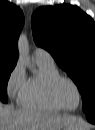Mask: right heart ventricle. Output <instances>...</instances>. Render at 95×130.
<instances>
[{
  "label": "right heart ventricle",
  "mask_w": 95,
  "mask_h": 130,
  "mask_svg": "<svg viewBox=\"0 0 95 130\" xmlns=\"http://www.w3.org/2000/svg\"><path fill=\"white\" fill-rule=\"evenodd\" d=\"M39 73L26 81L20 98L23 107L59 112L62 109L54 103L49 94V83L60 75L54 62L37 61Z\"/></svg>",
  "instance_id": "right-heart-ventricle-1"
}]
</instances>
